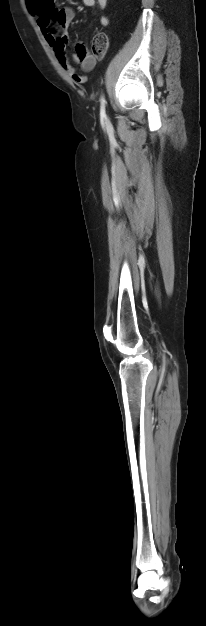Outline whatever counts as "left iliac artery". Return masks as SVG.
<instances>
[{"instance_id":"44dca946","label":"left iliac artery","mask_w":206,"mask_h":626,"mask_svg":"<svg viewBox=\"0 0 206 626\" xmlns=\"http://www.w3.org/2000/svg\"><path fill=\"white\" fill-rule=\"evenodd\" d=\"M105 104H106L105 98H104V96H102L101 97V108H100L101 116H105Z\"/></svg>"}]
</instances>
